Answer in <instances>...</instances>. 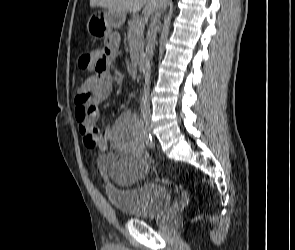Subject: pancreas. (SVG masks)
Here are the masks:
<instances>
[{
	"instance_id": "1",
	"label": "pancreas",
	"mask_w": 295,
	"mask_h": 250,
	"mask_svg": "<svg viewBox=\"0 0 295 250\" xmlns=\"http://www.w3.org/2000/svg\"><path fill=\"white\" fill-rule=\"evenodd\" d=\"M140 17L139 16H134L132 19H130L128 21V27H129V31H132L136 34V39H137V49L138 51H140L141 53L144 50V28L145 25H139L138 21H139Z\"/></svg>"
}]
</instances>
